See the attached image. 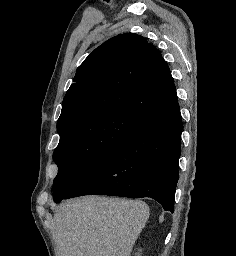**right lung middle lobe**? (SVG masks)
<instances>
[{"mask_svg": "<svg viewBox=\"0 0 236 256\" xmlns=\"http://www.w3.org/2000/svg\"><path fill=\"white\" fill-rule=\"evenodd\" d=\"M144 121L127 111H115L72 124L58 132L53 158L58 174L54 201L63 200L108 154Z\"/></svg>", "mask_w": 236, "mask_h": 256, "instance_id": "obj_1", "label": "right lung middle lobe"}]
</instances>
